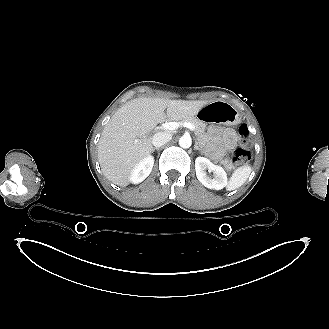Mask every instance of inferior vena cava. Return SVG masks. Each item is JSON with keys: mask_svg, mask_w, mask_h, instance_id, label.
<instances>
[{"mask_svg": "<svg viewBox=\"0 0 329 329\" xmlns=\"http://www.w3.org/2000/svg\"><path fill=\"white\" fill-rule=\"evenodd\" d=\"M172 139V135L168 132H158L153 136L152 143L155 147H161Z\"/></svg>", "mask_w": 329, "mask_h": 329, "instance_id": "602c4592", "label": "inferior vena cava"}]
</instances>
